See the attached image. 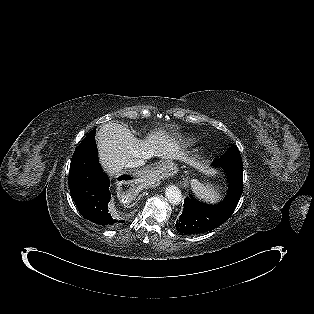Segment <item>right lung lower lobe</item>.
<instances>
[{
  "label": "right lung lower lobe",
  "mask_w": 314,
  "mask_h": 314,
  "mask_svg": "<svg viewBox=\"0 0 314 314\" xmlns=\"http://www.w3.org/2000/svg\"><path fill=\"white\" fill-rule=\"evenodd\" d=\"M131 178L123 175L119 180ZM109 186V178L99 165L97 147L93 138L91 142L79 146L73 154L69 188L81 215L104 227H114L122 223L119 218L109 213L108 203L111 199Z\"/></svg>",
  "instance_id": "98d812e1"
}]
</instances>
